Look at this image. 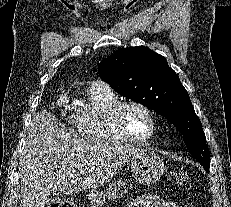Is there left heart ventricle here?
I'll use <instances>...</instances> for the list:
<instances>
[{
  "mask_svg": "<svg viewBox=\"0 0 231 207\" xmlns=\"http://www.w3.org/2000/svg\"><path fill=\"white\" fill-rule=\"evenodd\" d=\"M126 122L133 135L147 137L151 133L152 124L148 114L137 107H131L126 112Z\"/></svg>",
  "mask_w": 231,
  "mask_h": 207,
  "instance_id": "obj_1",
  "label": "left heart ventricle"
}]
</instances>
